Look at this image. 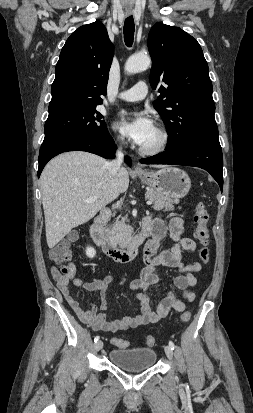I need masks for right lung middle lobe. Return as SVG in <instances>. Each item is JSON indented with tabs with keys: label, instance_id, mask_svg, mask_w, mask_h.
<instances>
[{
	"label": "right lung middle lobe",
	"instance_id": "obj_1",
	"mask_svg": "<svg viewBox=\"0 0 253 413\" xmlns=\"http://www.w3.org/2000/svg\"><path fill=\"white\" fill-rule=\"evenodd\" d=\"M103 115L96 107L72 109L49 115L45 122L43 142L56 138L80 136L91 137L107 132Z\"/></svg>",
	"mask_w": 253,
	"mask_h": 413
}]
</instances>
